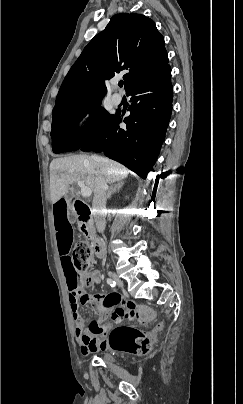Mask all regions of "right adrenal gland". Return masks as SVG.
<instances>
[{"label":"right adrenal gland","mask_w":243,"mask_h":404,"mask_svg":"<svg viewBox=\"0 0 243 404\" xmlns=\"http://www.w3.org/2000/svg\"><path fill=\"white\" fill-rule=\"evenodd\" d=\"M122 186H124L123 182H117V184H111L107 190V200L111 198L112 194H116V192H119L121 190Z\"/></svg>","instance_id":"2a0ac1e0"}]
</instances>
